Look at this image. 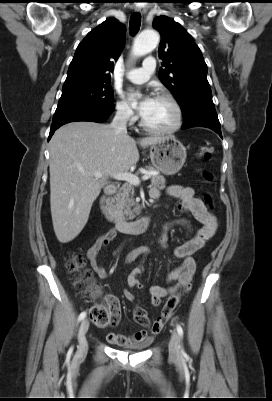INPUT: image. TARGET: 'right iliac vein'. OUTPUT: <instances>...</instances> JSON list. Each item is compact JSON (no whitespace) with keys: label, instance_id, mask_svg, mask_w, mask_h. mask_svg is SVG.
<instances>
[{"label":"right iliac vein","instance_id":"right-iliac-vein-1","mask_svg":"<svg viewBox=\"0 0 272 401\" xmlns=\"http://www.w3.org/2000/svg\"><path fill=\"white\" fill-rule=\"evenodd\" d=\"M89 329V320L84 319L80 325L79 332H78V355L82 356L87 352L88 344L86 339V333Z\"/></svg>","mask_w":272,"mask_h":401}]
</instances>
